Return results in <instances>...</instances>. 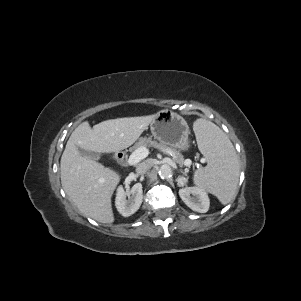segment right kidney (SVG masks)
I'll list each match as a JSON object with an SVG mask.
<instances>
[{
  "label": "right kidney",
  "instance_id": "right-kidney-1",
  "mask_svg": "<svg viewBox=\"0 0 301 301\" xmlns=\"http://www.w3.org/2000/svg\"><path fill=\"white\" fill-rule=\"evenodd\" d=\"M143 199V190L141 183H136L129 191H124L120 186L117 189L115 205L118 212L129 217L134 214L141 206Z\"/></svg>",
  "mask_w": 301,
  "mask_h": 301
}]
</instances>
